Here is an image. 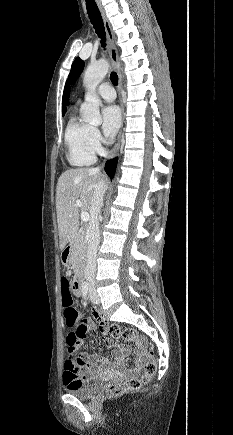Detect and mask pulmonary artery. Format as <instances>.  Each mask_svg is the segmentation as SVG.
<instances>
[{"mask_svg": "<svg viewBox=\"0 0 233 435\" xmlns=\"http://www.w3.org/2000/svg\"><path fill=\"white\" fill-rule=\"evenodd\" d=\"M97 94L106 101H113L115 99V93L111 85L101 84L97 89Z\"/></svg>", "mask_w": 233, "mask_h": 435, "instance_id": "e3ab8cb5", "label": "pulmonary artery"}]
</instances>
